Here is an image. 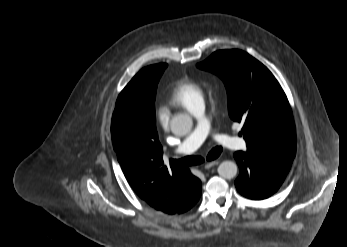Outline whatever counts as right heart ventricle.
Segmentation results:
<instances>
[{
  "label": "right heart ventricle",
  "instance_id": "right-heart-ventricle-1",
  "mask_svg": "<svg viewBox=\"0 0 347 247\" xmlns=\"http://www.w3.org/2000/svg\"><path fill=\"white\" fill-rule=\"evenodd\" d=\"M203 97V89L199 84L191 79L182 78L173 84L166 102L191 111L198 101L203 100Z\"/></svg>",
  "mask_w": 347,
  "mask_h": 247
}]
</instances>
